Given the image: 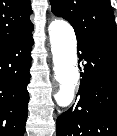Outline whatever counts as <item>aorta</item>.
<instances>
[{"instance_id": "1", "label": "aorta", "mask_w": 117, "mask_h": 136, "mask_svg": "<svg viewBox=\"0 0 117 136\" xmlns=\"http://www.w3.org/2000/svg\"><path fill=\"white\" fill-rule=\"evenodd\" d=\"M55 80L59 83L56 101L61 106L71 103L79 81L77 67V40L72 26L64 20L49 25Z\"/></svg>"}]
</instances>
